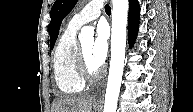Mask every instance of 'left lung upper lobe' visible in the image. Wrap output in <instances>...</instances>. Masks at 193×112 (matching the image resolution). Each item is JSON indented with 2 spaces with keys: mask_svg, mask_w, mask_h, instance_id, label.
<instances>
[{
  "mask_svg": "<svg viewBox=\"0 0 193 112\" xmlns=\"http://www.w3.org/2000/svg\"><path fill=\"white\" fill-rule=\"evenodd\" d=\"M78 0H56L52 6L49 24L50 48L53 49L64 17L74 8Z\"/></svg>",
  "mask_w": 193,
  "mask_h": 112,
  "instance_id": "5c2ea615",
  "label": "left lung upper lobe"
}]
</instances>
